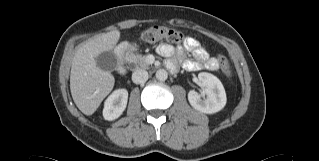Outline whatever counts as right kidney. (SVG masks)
Here are the masks:
<instances>
[{"label":"right kidney","mask_w":319,"mask_h":161,"mask_svg":"<svg viewBox=\"0 0 319 161\" xmlns=\"http://www.w3.org/2000/svg\"><path fill=\"white\" fill-rule=\"evenodd\" d=\"M128 101V91L117 89L105 100L103 117L105 120L112 121L117 119L125 110Z\"/></svg>","instance_id":"obj_1"}]
</instances>
